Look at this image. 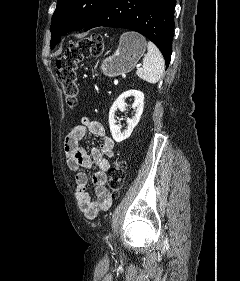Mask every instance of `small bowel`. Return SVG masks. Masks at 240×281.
Listing matches in <instances>:
<instances>
[{"label":"small bowel","mask_w":240,"mask_h":281,"mask_svg":"<svg viewBox=\"0 0 240 281\" xmlns=\"http://www.w3.org/2000/svg\"><path fill=\"white\" fill-rule=\"evenodd\" d=\"M87 132L102 139L99 148L88 153L81 142ZM66 163L75 173V197L80 209L88 219H95L107 211L112 204V196L106 188L109 158L114 156L115 142L107 135L105 127L98 121L83 117L67 135L64 144ZM92 169V192L88 191V176L82 169Z\"/></svg>","instance_id":"small-bowel-1"}]
</instances>
